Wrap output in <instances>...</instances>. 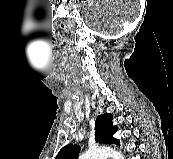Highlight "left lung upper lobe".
I'll list each match as a JSON object with an SVG mask.
<instances>
[{"label":"left lung upper lobe","mask_w":173,"mask_h":159,"mask_svg":"<svg viewBox=\"0 0 173 159\" xmlns=\"http://www.w3.org/2000/svg\"><path fill=\"white\" fill-rule=\"evenodd\" d=\"M112 119L113 116L108 113L97 117L95 122V139L97 142L120 145V141L113 137L118 128L113 126ZM79 152V145L68 144L59 151L55 159H77Z\"/></svg>","instance_id":"1"}]
</instances>
